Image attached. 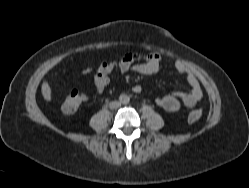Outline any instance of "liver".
I'll use <instances>...</instances> for the list:
<instances>
[{"instance_id":"1","label":"liver","mask_w":249,"mask_h":188,"mask_svg":"<svg viewBox=\"0 0 249 188\" xmlns=\"http://www.w3.org/2000/svg\"><path fill=\"white\" fill-rule=\"evenodd\" d=\"M41 92H42L44 99L47 102H50L52 99V91H51L50 85L48 84L47 81H44L42 83Z\"/></svg>"}]
</instances>
